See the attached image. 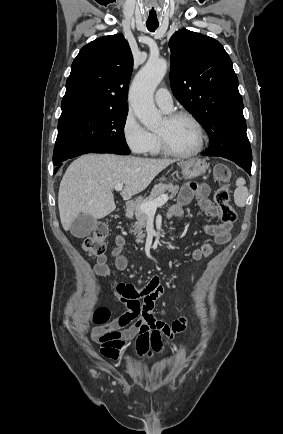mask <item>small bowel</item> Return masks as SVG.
Here are the masks:
<instances>
[{"label":"small bowel","instance_id":"c3829d8e","mask_svg":"<svg viewBox=\"0 0 283 434\" xmlns=\"http://www.w3.org/2000/svg\"><path fill=\"white\" fill-rule=\"evenodd\" d=\"M209 187L204 183L185 184L171 207L169 216L180 219L184 208L194 199H198L199 207L210 218L218 216V209L209 199ZM232 223L206 224L204 231L213 238L216 244H226L231 239ZM126 240L122 235L115 238V245L111 251L114 257V269L124 271L128 266L127 257L123 253ZM213 252L211 244L202 242L192 251L195 260L208 258ZM94 272L98 276H110L112 268L108 264V257L101 255L97 258ZM112 289L119 300L127 307V311L113 321L97 326L92 330L93 339L101 344L100 353L108 358L120 359L125 355L130 341L135 340V349L139 357H150L152 353L163 350L162 337L172 339L184 330L186 320L180 318L167 325L158 319L153 309L155 302L163 294V286L158 277H153L142 289H136L118 279L112 282ZM142 299V302L140 301Z\"/></svg>","mask_w":283,"mask_h":434}]
</instances>
